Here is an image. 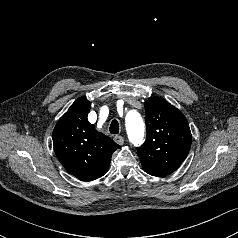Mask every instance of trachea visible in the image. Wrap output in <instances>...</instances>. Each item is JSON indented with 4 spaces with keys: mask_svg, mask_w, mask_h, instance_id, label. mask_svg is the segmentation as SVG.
Listing matches in <instances>:
<instances>
[{
    "mask_svg": "<svg viewBox=\"0 0 238 238\" xmlns=\"http://www.w3.org/2000/svg\"><path fill=\"white\" fill-rule=\"evenodd\" d=\"M110 133L118 134L119 133V123L117 120H113L110 124Z\"/></svg>",
    "mask_w": 238,
    "mask_h": 238,
    "instance_id": "obj_1",
    "label": "trachea"
}]
</instances>
